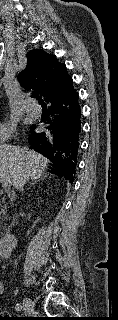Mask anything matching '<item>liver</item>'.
<instances>
[{
  "instance_id": "liver-1",
  "label": "liver",
  "mask_w": 118,
  "mask_h": 320,
  "mask_svg": "<svg viewBox=\"0 0 118 320\" xmlns=\"http://www.w3.org/2000/svg\"><path fill=\"white\" fill-rule=\"evenodd\" d=\"M48 164L49 160L35 151L26 153L19 147L0 145V178L10 180L17 190L29 179L41 177Z\"/></svg>"
}]
</instances>
